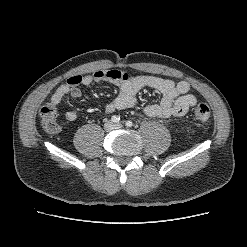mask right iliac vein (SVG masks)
<instances>
[{"label":"right iliac vein","mask_w":247,"mask_h":247,"mask_svg":"<svg viewBox=\"0 0 247 247\" xmlns=\"http://www.w3.org/2000/svg\"><path fill=\"white\" fill-rule=\"evenodd\" d=\"M104 128L106 131H111L114 128V125L112 122L108 121L104 124Z\"/></svg>","instance_id":"right-iliac-vein-1"}]
</instances>
